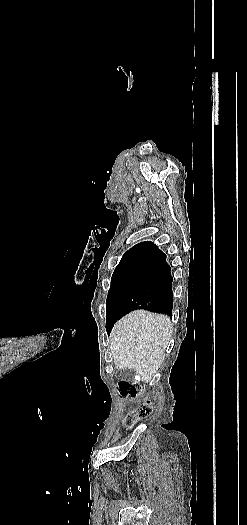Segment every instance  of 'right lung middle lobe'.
I'll use <instances>...</instances> for the list:
<instances>
[{
	"label": "right lung middle lobe",
	"instance_id": "dd1d6c3e",
	"mask_svg": "<svg viewBox=\"0 0 247 525\" xmlns=\"http://www.w3.org/2000/svg\"><path fill=\"white\" fill-rule=\"evenodd\" d=\"M155 259L156 257H153L144 265L136 268L114 271L106 300V327L113 326L119 319V310L124 300L133 290L136 283L148 271Z\"/></svg>",
	"mask_w": 247,
	"mask_h": 525
}]
</instances>
